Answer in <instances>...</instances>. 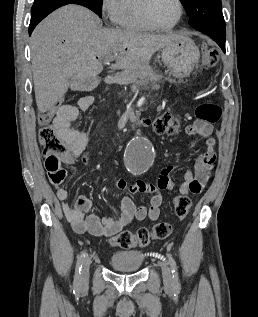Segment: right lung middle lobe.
Returning <instances> with one entry per match:
<instances>
[{
    "label": "right lung middle lobe",
    "mask_w": 258,
    "mask_h": 317,
    "mask_svg": "<svg viewBox=\"0 0 258 317\" xmlns=\"http://www.w3.org/2000/svg\"><path fill=\"white\" fill-rule=\"evenodd\" d=\"M103 0H89L94 12L101 18Z\"/></svg>",
    "instance_id": "1"
}]
</instances>
